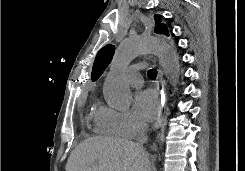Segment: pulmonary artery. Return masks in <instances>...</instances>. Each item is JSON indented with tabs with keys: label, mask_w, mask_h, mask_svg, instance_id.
<instances>
[{
	"label": "pulmonary artery",
	"mask_w": 245,
	"mask_h": 171,
	"mask_svg": "<svg viewBox=\"0 0 245 171\" xmlns=\"http://www.w3.org/2000/svg\"><path fill=\"white\" fill-rule=\"evenodd\" d=\"M124 76L126 80L134 87H139L142 84V77L139 66L134 65L125 70Z\"/></svg>",
	"instance_id": "pulmonary-artery-1"
}]
</instances>
